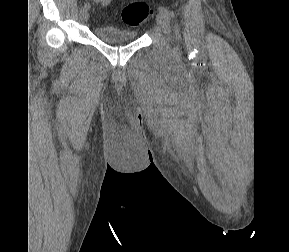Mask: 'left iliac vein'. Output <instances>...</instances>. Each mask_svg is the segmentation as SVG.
<instances>
[{
	"label": "left iliac vein",
	"instance_id": "1",
	"mask_svg": "<svg viewBox=\"0 0 289 252\" xmlns=\"http://www.w3.org/2000/svg\"><path fill=\"white\" fill-rule=\"evenodd\" d=\"M156 23L163 33L165 34L169 33V20L164 14L160 12L157 14Z\"/></svg>",
	"mask_w": 289,
	"mask_h": 252
}]
</instances>
